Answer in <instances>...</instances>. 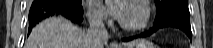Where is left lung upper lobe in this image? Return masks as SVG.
<instances>
[{
    "label": "left lung upper lobe",
    "instance_id": "left-lung-upper-lobe-1",
    "mask_svg": "<svg viewBox=\"0 0 213 48\" xmlns=\"http://www.w3.org/2000/svg\"><path fill=\"white\" fill-rule=\"evenodd\" d=\"M157 14L160 16L167 11H178L189 14L188 0H155Z\"/></svg>",
    "mask_w": 213,
    "mask_h": 48
}]
</instances>
